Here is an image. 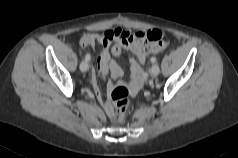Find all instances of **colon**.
I'll return each instance as SVG.
<instances>
[{
  "mask_svg": "<svg viewBox=\"0 0 238 158\" xmlns=\"http://www.w3.org/2000/svg\"><path fill=\"white\" fill-rule=\"evenodd\" d=\"M148 38L153 41L152 49L154 53L164 49L167 45L163 36L159 33H152L148 35ZM109 96L111 100L109 117L113 121L121 122L130 104L128 89L122 84L115 85L111 88Z\"/></svg>",
  "mask_w": 238,
  "mask_h": 158,
  "instance_id": "1",
  "label": "colon"
}]
</instances>
